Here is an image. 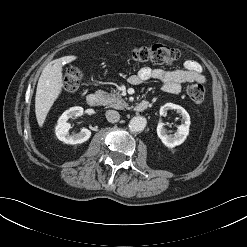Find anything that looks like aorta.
<instances>
[{"mask_svg":"<svg viewBox=\"0 0 247 247\" xmlns=\"http://www.w3.org/2000/svg\"><path fill=\"white\" fill-rule=\"evenodd\" d=\"M147 121L142 116H135L129 122V129L131 132H141L145 129Z\"/></svg>","mask_w":247,"mask_h":247,"instance_id":"obj_1","label":"aorta"}]
</instances>
